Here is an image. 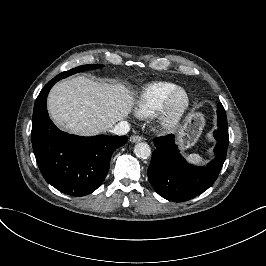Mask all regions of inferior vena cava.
Masks as SVG:
<instances>
[{
	"label": "inferior vena cava",
	"instance_id": "inferior-vena-cava-1",
	"mask_svg": "<svg viewBox=\"0 0 266 266\" xmlns=\"http://www.w3.org/2000/svg\"><path fill=\"white\" fill-rule=\"evenodd\" d=\"M108 131L116 136H125L130 132V125L127 121L122 120L110 127Z\"/></svg>",
	"mask_w": 266,
	"mask_h": 266
}]
</instances>
